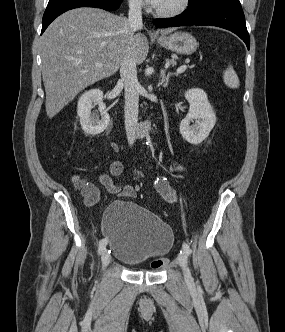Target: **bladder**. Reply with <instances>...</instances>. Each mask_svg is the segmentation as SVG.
<instances>
[{"label": "bladder", "mask_w": 285, "mask_h": 332, "mask_svg": "<svg viewBox=\"0 0 285 332\" xmlns=\"http://www.w3.org/2000/svg\"><path fill=\"white\" fill-rule=\"evenodd\" d=\"M102 232L111 255L129 266L166 252L173 242V234L167 224L132 202L110 204L103 215Z\"/></svg>", "instance_id": "31cf9c89"}]
</instances>
